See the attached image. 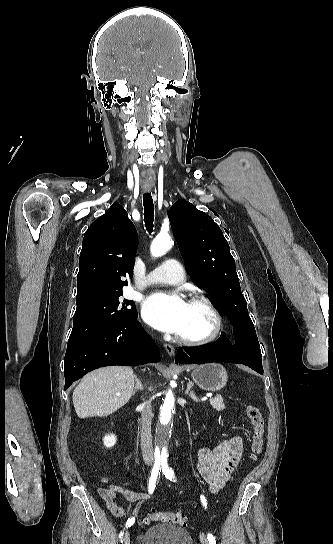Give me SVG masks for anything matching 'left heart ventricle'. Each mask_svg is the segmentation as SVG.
I'll return each instance as SVG.
<instances>
[{"instance_id":"1","label":"left heart ventricle","mask_w":333,"mask_h":544,"mask_svg":"<svg viewBox=\"0 0 333 544\" xmlns=\"http://www.w3.org/2000/svg\"><path fill=\"white\" fill-rule=\"evenodd\" d=\"M213 327V318L209 310L202 304H188L184 325L179 332L187 338L206 336Z\"/></svg>"}]
</instances>
